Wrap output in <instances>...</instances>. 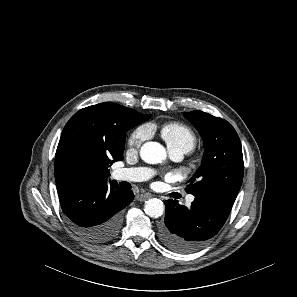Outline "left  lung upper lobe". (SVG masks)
Masks as SVG:
<instances>
[{
    "instance_id": "1",
    "label": "left lung upper lobe",
    "mask_w": 297,
    "mask_h": 297,
    "mask_svg": "<svg viewBox=\"0 0 297 297\" xmlns=\"http://www.w3.org/2000/svg\"><path fill=\"white\" fill-rule=\"evenodd\" d=\"M184 116L197 128L205 145L202 164L186 191L194 196L238 194L244 174L241 142L233 126L203 111Z\"/></svg>"
}]
</instances>
